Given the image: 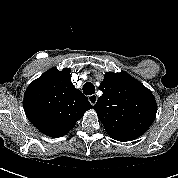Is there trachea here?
<instances>
[{
	"label": "trachea",
	"mask_w": 178,
	"mask_h": 178,
	"mask_svg": "<svg viewBox=\"0 0 178 178\" xmlns=\"http://www.w3.org/2000/svg\"><path fill=\"white\" fill-rule=\"evenodd\" d=\"M83 93L85 95H92L95 93V86L91 82H87L83 85Z\"/></svg>",
	"instance_id": "1"
}]
</instances>
